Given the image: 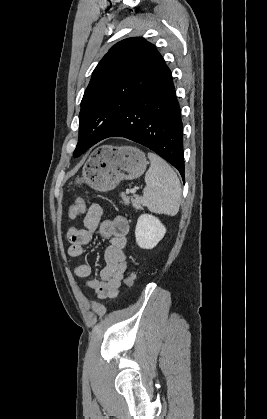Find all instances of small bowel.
<instances>
[{
    "label": "small bowel",
    "mask_w": 267,
    "mask_h": 419,
    "mask_svg": "<svg viewBox=\"0 0 267 419\" xmlns=\"http://www.w3.org/2000/svg\"><path fill=\"white\" fill-rule=\"evenodd\" d=\"M103 209L93 203L89 206L84 217V228L69 227L67 238L70 243L68 255L72 258L81 257L85 247L91 242L95 232L110 242L104 253L105 266L100 272V279L91 278L93 267L90 264H79L74 269L78 278L87 279L86 286L92 289L100 299L114 298L119 292L127 271V235L129 223L124 217L112 220H102Z\"/></svg>",
    "instance_id": "obj_1"
}]
</instances>
